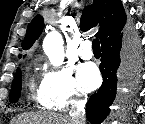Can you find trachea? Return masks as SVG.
<instances>
[{
  "mask_svg": "<svg viewBox=\"0 0 145 124\" xmlns=\"http://www.w3.org/2000/svg\"><path fill=\"white\" fill-rule=\"evenodd\" d=\"M92 49H93V51H100V43L97 38L94 39L92 42Z\"/></svg>",
  "mask_w": 145,
  "mask_h": 124,
  "instance_id": "obj_1",
  "label": "trachea"
}]
</instances>
